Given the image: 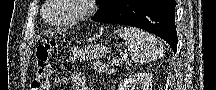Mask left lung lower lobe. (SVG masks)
Returning <instances> with one entry per match:
<instances>
[{
	"mask_svg": "<svg viewBox=\"0 0 216 90\" xmlns=\"http://www.w3.org/2000/svg\"><path fill=\"white\" fill-rule=\"evenodd\" d=\"M175 0H121L113 8L91 19L104 23L135 26L164 39L175 52Z\"/></svg>",
	"mask_w": 216,
	"mask_h": 90,
	"instance_id": "1",
	"label": "left lung lower lobe"
}]
</instances>
